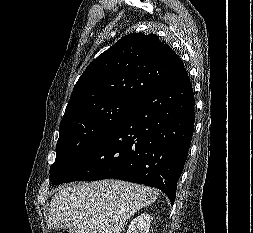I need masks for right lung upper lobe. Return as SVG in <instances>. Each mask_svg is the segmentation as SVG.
<instances>
[{
    "label": "right lung upper lobe",
    "instance_id": "1",
    "mask_svg": "<svg viewBox=\"0 0 253 233\" xmlns=\"http://www.w3.org/2000/svg\"><path fill=\"white\" fill-rule=\"evenodd\" d=\"M183 68L178 55L157 35H126L87 66L74 86L64 116L103 100H136Z\"/></svg>",
    "mask_w": 253,
    "mask_h": 233
}]
</instances>
